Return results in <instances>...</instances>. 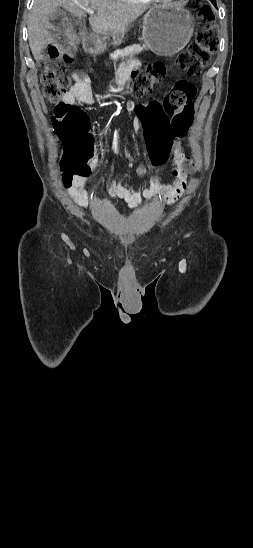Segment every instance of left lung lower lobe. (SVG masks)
Returning a JSON list of instances; mask_svg holds the SVG:
<instances>
[{
	"mask_svg": "<svg viewBox=\"0 0 253 548\" xmlns=\"http://www.w3.org/2000/svg\"><path fill=\"white\" fill-rule=\"evenodd\" d=\"M216 6V0H210Z\"/></svg>",
	"mask_w": 253,
	"mask_h": 548,
	"instance_id": "0a47b994",
	"label": "left lung lower lobe"
}]
</instances>
